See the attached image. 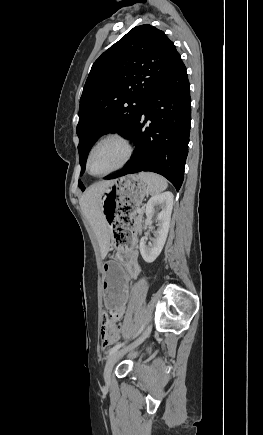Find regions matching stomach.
I'll use <instances>...</instances> for the list:
<instances>
[{
	"mask_svg": "<svg viewBox=\"0 0 263 435\" xmlns=\"http://www.w3.org/2000/svg\"><path fill=\"white\" fill-rule=\"evenodd\" d=\"M148 188L137 175H128L113 182L101 196L100 205L106 220L105 232L111 233L112 246L120 252V258L106 260L103 271V310H118L119 305H128L131 296L130 283H135L140 275L132 269L127 254L129 247L135 246L138 232L135 209L142 202Z\"/></svg>",
	"mask_w": 263,
	"mask_h": 435,
	"instance_id": "1",
	"label": "stomach"
}]
</instances>
